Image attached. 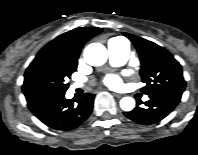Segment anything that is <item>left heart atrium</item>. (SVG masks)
I'll use <instances>...</instances> for the list:
<instances>
[{
	"label": "left heart atrium",
	"mask_w": 198,
	"mask_h": 155,
	"mask_svg": "<svg viewBox=\"0 0 198 155\" xmlns=\"http://www.w3.org/2000/svg\"><path fill=\"white\" fill-rule=\"evenodd\" d=\"M121 83L120 78L116 75H108L104 79V84L109 87H117Z\"/></svg>",
	"instance_id": "obj_1"
}]
</instances>
